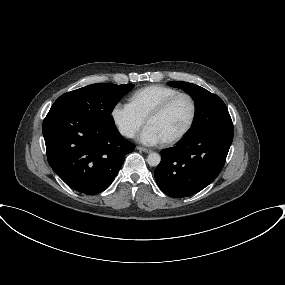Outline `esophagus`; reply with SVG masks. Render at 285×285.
I'll list each match as a JSON object with an SVG mask.
<instances>
[{
  "instance_id": "34e87169",
  "label": "esophagus",
  "mask_w": 285,
  "mask_h": 285,
  "mask_svg": "<svg viewBox=\"0 0 285 285\" xmlns=\"http://www.w3.org/2000/svg\"><path fill=\"white\" fill-rule=\"evenodd\" d=\"M137 149L139 151H142V152H145V153H150L151 152L150 149H147V148H144V147H141V146H138Z\"/></svg>"
}]
</instances>
